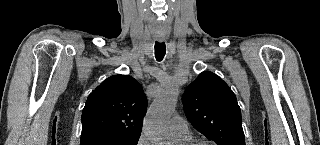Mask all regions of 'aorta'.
Wrapping results in <instances>:
<instances>
[{"instance_id": "1", "label": "aorta", "mask_w": 320, "mask_h": 145, "mask_svg": "<svg viewBox=\"0 0 320 145\" xmlns=\"http://www.w3.org/2000/svg\"><path fill=\"white\" fill-rule=\"evenodd\" d=\"M178 87L169 80L154 99L144 119L143 131L153 145H172L169 132V118L174 111Z\"/></svg>"}]
</instances>
